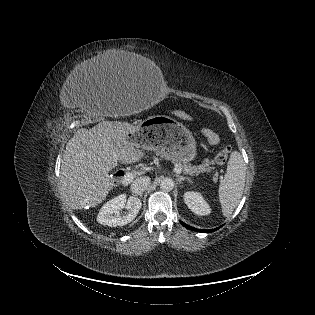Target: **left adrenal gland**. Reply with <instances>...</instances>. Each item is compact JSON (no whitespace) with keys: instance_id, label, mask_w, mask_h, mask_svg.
Here are the masks:
<instances>
[{"instance_id":"obj_1","label":"left adrenal gland","mask_w":315,"mask_h":315,"mask_svg":"<svg viewBox=\"0 0 315 315\" xmlns=\"http://www.w3.org/2000/svg\"><path fill=\"white\" fill-rule=\"evenodd\" d=\"M184 180H187L188 182L192 183V181H191L190 178L177 175V181H178L179 183H181V182L184 181Z\"/></svg>"}]
</instances>
